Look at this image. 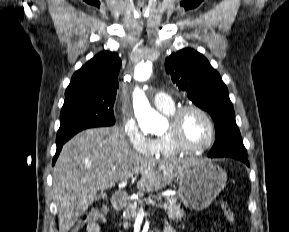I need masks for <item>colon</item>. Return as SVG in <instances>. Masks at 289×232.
<instances>
[{
  "label": "colon",
  "mask_w": 289,
  "mask_h": 232,
  "mask_svg": "<svg viewBox=\"0 0 289 232\" xmlns=\"http://www.w3.org/2000/svg\"><path fill=\"white\" fill-rule=\"evenodd\" d=\"M222 209L227 221L234 227H236V216L227 202L222 203ZM103 219V212L100 210H93L90 213L84 214L79 221L72 227L70 232H80L83 226L92 222H99Z\"/></svg>",
  "instance_id": "obj_1"
}]
</instances>
